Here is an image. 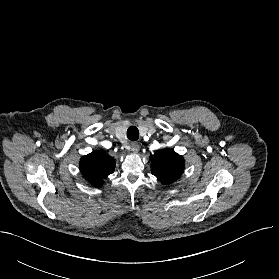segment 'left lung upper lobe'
I'll list each match as a JSON object with an SVG mask.
<instances>
[{
  "instance_id": "5c2ea615",
  "label": "left lung upper lobe",
  "mask_w": 279,
  "mask_h": 279,
  "mask_svg": "<svg viewBox=\"0 0 279 279\" xmlns=\"http://www.w3.org/2000/svg\"><path fill=\"white\" fill-rule=\"evenodd\" d=\"M151 172L163 184L176 181L184 171V159L174 150H160L151 156Z\"/></svg>"
}]
</instances>
